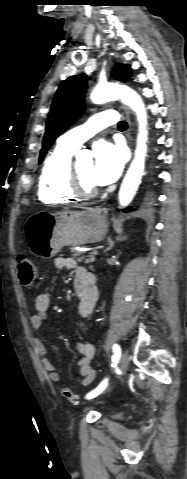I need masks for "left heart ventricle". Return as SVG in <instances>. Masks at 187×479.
<instances>
[{
  "mask_svg": "<svg viewBox=\"0 0 187 479\" xmlns=\"http://www.w3.org/2000/svg\"><path fill=\"white\" fill-rule=\"evenodd\" d=\"M76 167L81 178L87 186H96L92 180L93 163L91 161L78 163Z\"/></svg>",
  "mask_w": 187,
  "mask_h": 479,
  "instance_id": "1",
  "label": "left heart ventricle"
}]
</instances>
